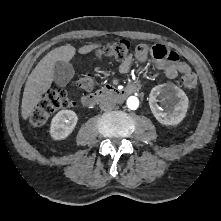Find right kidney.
Instances as JSON below:
<instances>
[{"mask_svg": "<svg viewBox=\"0 0 221 221\" xmlns=\"http://www.w3.org/2000/svg\"><path fill=\"white\" fill-rule=\"evenodd\" d=\"M78 121L76 113L72 110L59 111L51 121L50 135L55 140L67 138L74 130Z\"/></svg>", "mask_w": 221, "mask_h": 221, "instance_id": "right-kidney-1", "label": "right kidney"}]
</instances>
